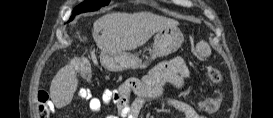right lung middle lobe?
Instances as JSON below:
<instances>
[{
    "mask_svg": "<svg viewBox=\"0 0 273 118\" xmlns=\"http://www.w3.org/2000/svg\"><path fill=\"white\" fill-rule=\"evenodd\" d=\"M110 0H85L80 3L72 12V16L69 21L73 20L74 16L84 12L96 11L103 6L109 4Z\"/></svg>",
    "mask_w": 273,
    "mask_h": 118,
    "instance_id": "right-lung-middle-lobe-1",
    "label": "right lung middle lobe"
}]
</instances>
